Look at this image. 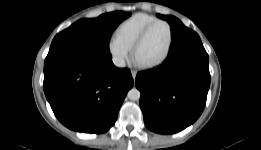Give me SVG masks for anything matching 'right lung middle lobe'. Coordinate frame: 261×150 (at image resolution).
Returning <instances> with one entry per match:
<instances>
[{
  "mask_svg": "<svg viewBox=\"0 0 261 150\" xmlns=\"http://www.w3.org/2000/svg\"><path fill=\"white\" fill-rule=\"evenodd\" d=\"M129 15L130 13L116 11L95 19H81L55 36L49 52L81 49L109 53L108 45L112 32Z\"/></svg>",
  "mask_w": 261,
  "mask_h": 150,
  "instance_id": "obj_1",
  "label": "right lung middle lobe"
}]
</instances>
